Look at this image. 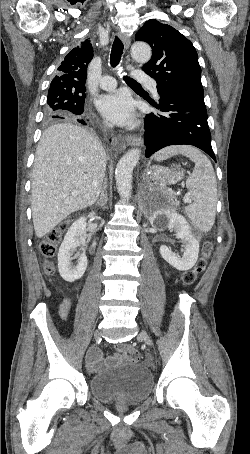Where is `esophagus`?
<instances>
[{
  "label": "esophagus",
  "instance_id": "1",
  "mask_svg": "<svg viewBox=\"0 0 250 454\" xmlns=\"http://www.w3.org/2000/svg\"><path fill=\"white\" fill-rule=\"evenodd\" d=\"M119 37L123 41L125 48L128 49L131 44V38L123 33H120ZM126 141L130 146H140L142 144V139L134 135L127 136Z\"/></svg>",
  "mask_w": 250,
  "mask_h": 454
}]
</instances>
